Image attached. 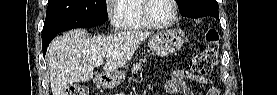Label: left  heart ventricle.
Returning a JSON list of instances; mask_svg holds the SVG:
<instances>
[{"instance_id":"obj_1","label":"left heart ventricle","mask_w":277,"mask_h":95,"mask_svg":"<svg viewBox=\"0 0 277 95\" xmlns=\"http://www.w3.org/2000/svg\"><path fill=\"white\" fill-rule=\"evenodd\" d=\"M173 11V5L170 0H151L148 7L150 17L161 23L169 21Z\"/></svg>"}]
</instances>
